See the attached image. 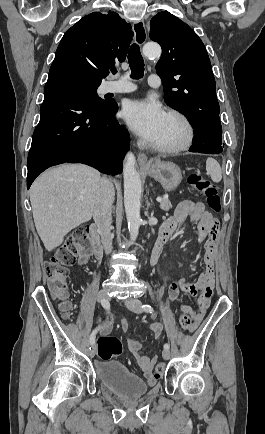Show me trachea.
Listing matches in <instances>:
<instances>
[{"label":"trachea","instance_id":"3493384b","mask_svg":"<svg viewBox=\"0 0 265 434\" xmlns=\"http://www.w3.org/2000/svg\"><path fill=\"white\" fill-rule=\"evenodd\" d=\"M128 63L131 69V76L134 79H140L144 74V60L141 55L139 45L133 44L128 52ZM115 74L116 70L112 69Z\"/></svg>","mask_w":265,"mask_h":434}]
</instances>
